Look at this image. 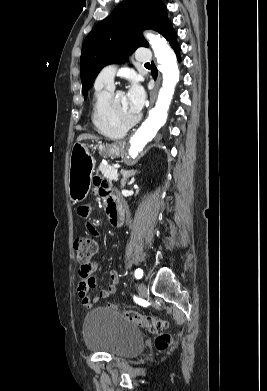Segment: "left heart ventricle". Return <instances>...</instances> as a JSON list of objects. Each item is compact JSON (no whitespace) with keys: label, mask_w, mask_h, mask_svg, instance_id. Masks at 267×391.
<instances>
[{"label":"left heart ventricle","mask_w":267,"mask_h":391,"mask_svg":"<svg viewBox=\"0 0 267 391\" xmlns=\"http://www.w3.org/2000/svg\"><path fill=\"white\" fill-rule=\"evenodd\" d=\"M114 107L118 116L123 120H130L137 114L131 109L126 94H119L114 99Z\"/></svg>","instance_id":"left-heart-ventricle-1"}]
</instances>
